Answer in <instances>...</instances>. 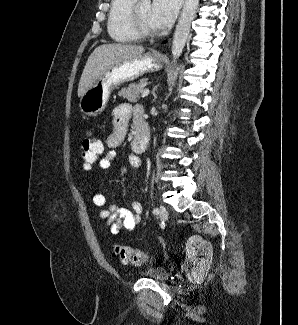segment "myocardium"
<instances>
[{
    "label": "myocardium",
    "mask_w": 298,
    "mask_h": 325,
    "mask_svg": "<svg viewBox=\"0 0 298 325\" xmlns=\"http://www.w3.org/2000/svg\"><path fill=\"white\" fill-rule=\"evenodd\" d=\"M146 0H130L127 7V16L125 19L126 30L138 40H151L159 37L162 33L160 32H149L145 30L139 21L138 10L141 5Z\"/></svg>",
    "instance_id": "myocardium-1"
}]
</instances>
